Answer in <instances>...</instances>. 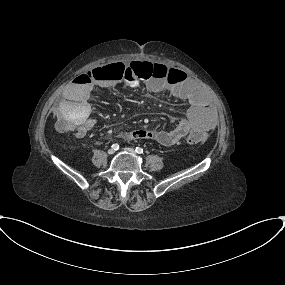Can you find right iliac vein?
I'll return each instance as SVG.
<instances>
[{"mask_svg": "<svg viewBox=\"0 0 285 285\" xmlns=\"http://www.w3.org/2000/svg\"><path fill=\"white\" fill-rule=\"evenodd\" d=\"M108 154H110V155L114 154V150L113 149H109L108 150Z\"/></svg>", "mask_w": 285, "mask_h": 285, "instance_id": "1", "label": "right iliac vein"}]
</instances>
